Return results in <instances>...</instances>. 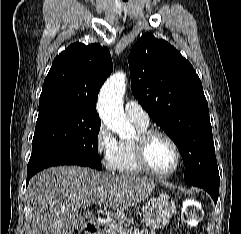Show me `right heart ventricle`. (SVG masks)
<instances>
[{"mask_svg":"<svg viewBox=\"0 0 241 234\" xmlns=\"http://www.w3.org/2000/svg\"><path fill=\"white\" fill-rule=\"evenodd\" d=\"M138 132L148 129V125L135 123ZM115 170L123 175H140L144 170L136 158L135 139L120 140L115 158Z\"/></svg>","mask_w":241,"mask_h":234,"instance_id":"obj_1","label":"right heart ventricle"}]
</instances>
